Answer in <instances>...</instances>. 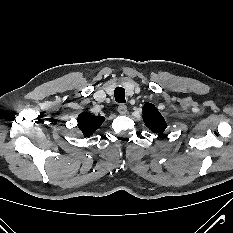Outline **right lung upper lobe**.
<instances>
[{
  "label": "right lung upper lobe",
  "mask_w": 233,
  "mask_h": 233,
  "mask_svg": "<svg viewBox=\"0 0 233 233\" xmlns=\"http://www.w3.org/2000/svg\"><path fill=\"white\" fill-rule=\"evenodd\" d=\"M105 118L102 116H94L88 112H83L78 115V127L86 137L93 135V133L104 122Z\"/></svg>",
  "instance_id": "1"
}]
</instances>
